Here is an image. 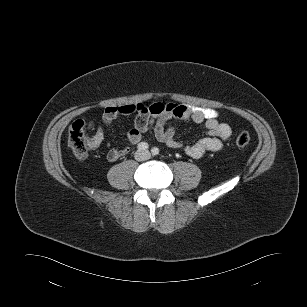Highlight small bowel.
<instances>
[{"label":"small bowel","mask_w":307,"mask_h":307,"mask_svg":"<svg viewBox=\"0 0 307 307\" xmlns=\"http://www.w3.org/2000/svg\"><path fill=\"white\" fill-rule=\"evenodd\" d=\"M130 114H136L135 124L128 131L127 139L130 145L140 144L144 133L153 132L155 138L173 149L183 150L188 156L198 159L206 152H218L223 148L224 141L231 136V128L226 123L218 121L215 109L201 108L174 103H142L126 104L109 107L103 114V120L109 124L114 120ZM171 119L190 120L203 124L206 135L193 144H185L175 139V129L168 125ZM104 140V130L98 126L92 136V148H97ZM129 152V147L111 149L107 154L109 161H116Z\"/></svg>","instance_id":"small-bowel-1"}]
</instances>
